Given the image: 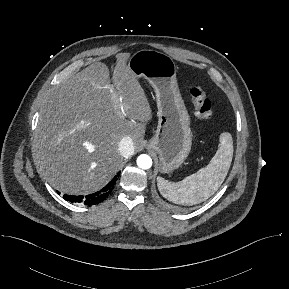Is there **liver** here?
Returning a JSON list of instances; mask_svg holds the SVG:
<instances>
[{"label": "liver", "mask_w": 289, "mask_h": 289, "mask_svg": "<svg viewBox=\"0 0 289 289\" xmlns=\"http://www.w3.org/2000/svg\"><path fill=\"white\" fill-rule=\"evenodd\" d=\"M108 67L95 62L53 88L40 111L35 156L57 190L85 195L103 188L117 173L119 143L129 136L139 148L152 111L136 75L116 56Z\"/></svg>", "instance_id": "liver-1"}]
</instances>
